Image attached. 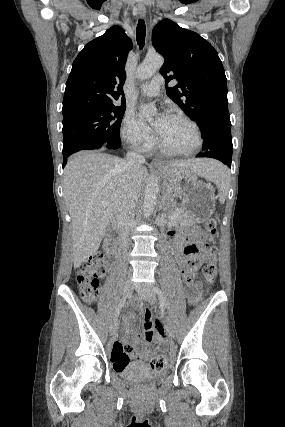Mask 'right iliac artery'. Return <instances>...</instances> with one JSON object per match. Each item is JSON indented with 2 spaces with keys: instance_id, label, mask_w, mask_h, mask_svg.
<instances>
[{
  "instance_id": "82829eb1",
  "label": "right iliac artery",
  "mask_w": 285,
  "mask_h": 427,
  "mask_svg": "<svg viewBox=\"0 0 285 427\" xmlns=\"http://www.w3.org/2000/svg\"><path fill=\"white\" fill-rule=\"evenodd\" d=\"M126 299H127V296H123V298L121 299V301H120V303H119V305H118V307L116 309V312H115V317L116 318L119 316L122 308L124 307V305L126 303Z\"/></svg>"
}]
</instances>
